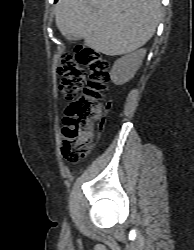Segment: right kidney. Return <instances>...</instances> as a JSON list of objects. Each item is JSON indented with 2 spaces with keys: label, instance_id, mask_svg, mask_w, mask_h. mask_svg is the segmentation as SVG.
<instances>
[{
  "label": "right kidney",
  "instance_id": "ca27d5eb",
  "mask_svg": "<svg viewBox=\"0 0 194 250\" xmlns=\"http://www.w3.org/2000/svg\"><path fill=\"white\" fill-rule=\"evenodd\" d=\"M145 54L146 50L140 49L115 61L110 72V78L113 83L116 85H123L131 80L141 66Z\"/></svg>",
  "mask_w": 194,
  "mask_h": 250
}]
</instances>
